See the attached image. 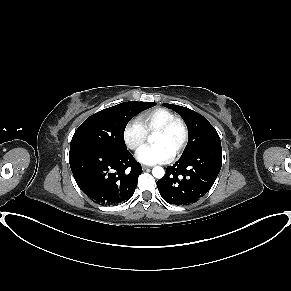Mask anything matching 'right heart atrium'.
<instances>
[{
    "label": "right heart atrium",
    "mask_w": 291,
    "mask_h": 291,
    "mask_svg": "<svg viewBox=\"0 0 291 291\" xmlns=\"http://www.w3.org/2000/svg\"><path fill=\"white\" fill-rule=\"evenodd\" d=\"M146 130L138 123L137 120L129 121L123 128L122 138L125 145L135 150L140 147L147 139Z\"/></svg>",
    "instance_id": "obj_1"
}]
</instances>
